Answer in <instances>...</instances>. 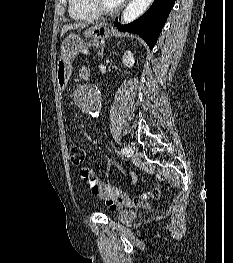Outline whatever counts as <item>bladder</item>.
Segmentation results:
<instances>
[{
    "mask_svg": "<svg viewBox=\"0 0 233 263\" xmlns=\"http://www.w3.org/2000/svg\"><path fill=\"white\" fill-rule=\"evenodd\" d=\"M117 220L123 224H129L136 218V214L131 210H121L117 213Z\"/></svg>",
    "mask_w": 233,
    "mask_h": 263,
    "instance_id": "bladder-1",
    "label": "bladder"
}]
</instances>
